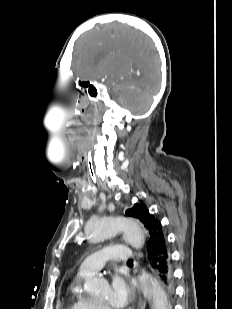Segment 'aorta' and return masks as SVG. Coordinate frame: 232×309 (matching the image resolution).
<instances>
[{"instance_id": "aorta-1", "label": "aorta", "mask_w": 232, "mask_h": 309, "mask_svg": "<svg viewBox=\"0 0 232 309\" xmlns=\"http://www.w3.org/2000/svg\"><path fill=\"white\" fill-rule=\"evenodd\" d=\"M86 235L91 243H99L118 233L125 235L126 241L135 249H141L145 243V236L140 225L124 217H106L89 222L85 228ZM140 287L144 297L151 305V309H170L167 296L157 281L147 272L142 271L139 276ZM108 284L100 278L86 281V291L95 297L102 298Z\"/></svg>"}]
</instances>
